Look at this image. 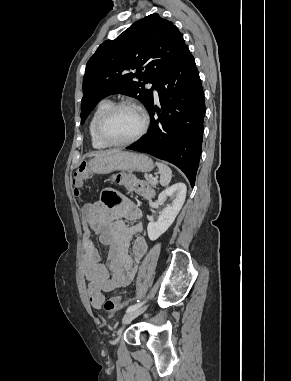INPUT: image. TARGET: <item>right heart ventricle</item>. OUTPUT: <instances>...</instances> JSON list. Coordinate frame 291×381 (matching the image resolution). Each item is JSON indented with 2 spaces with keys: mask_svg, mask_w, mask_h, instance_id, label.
I'll list each match as a JSON object with an SVG mask.
<instances>
[{
  "mask_svg": "<svg viewBox=\"0 0 291 381\" xmlns=\"http://www.w3.org/2000/svg\"><path fill=\"white\" fill-rule=\"evenodd\" d=\"M111 105H112V102L109 100L101 101L97 105V107H96V109H95V111H94V113L90 119L89 136H90L91 144H92L93 148H95V149H105V148L109 147V145L104 143L98 137L97 132H96V124H97L99 117L102 115V113L105 112Z\"/></svg>",
  "mask_w": 291,
  "mask_h": 381,
  "instance_id": "1",
  "label": "right heart ventricle"
}]
</instances>
